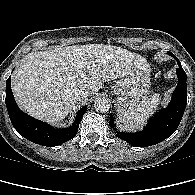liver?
<instances>
[{
  "label": "liver",
  "mask_w": 195,
  "mask_h": 195,
  "mask_svg": "<svg viewBox=\"0 0 195 195\" xmlns=\"http://www.w3.org/2000/svg\"><path fill=\"white\" fill-rule=\"evenodd\" d=\"M145 62L141 55L111 45L54 47L21 60L12 75V91L22 110L56 124L75 107V89L85 87L96 94L104 82L126 77Z\"/></svg>",
  "instance_id": "liver-1"
}]
</instances>
